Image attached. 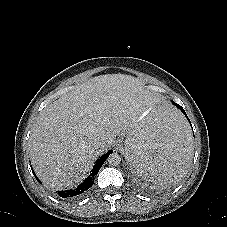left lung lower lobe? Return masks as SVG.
Wrapping results in <instances>:
<instances>
[{"mask_svg":"<svg viewBox=\"0 0 227 227\" xmlns=\"http://www.w3.org/2000/svg\"><path fill=\"white\" fill-rule=\"evenodd\" d=\"M173 104L178 107L184 114L185 116L187 117L188 121L190 122L188 116L186 115L184 109L173 102ZM191 124V123H190ZM192 127V125H191ZM193 130V128H192ZM183 147H184V143H182V140L179 139V138H176V137H173L172 140L167 144V146L161 150H158L157 152H155L154 154H157V155H160L161 157H163L164 159H168L169 156H178L182 150H183ZM138 160H141V156L139 155V158ZM140 162V161H139ZM177 161H169V164H176ZM131 166H132V171H136L138 173V165L137 164H132L131 163Z\"/></svg>","mask_w":227,"mask_h":227,"instance_id":"1","label":"left lung lower lobe"}]
</instances>
